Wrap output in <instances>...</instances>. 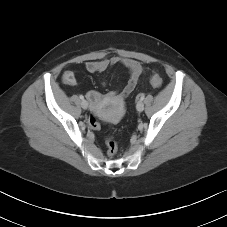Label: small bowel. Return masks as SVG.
Segmentation results:
<instances>
[{"instance_id": "c3829d8e", "label": "small bowel", "mask_w": 227, "mask_h": 227, "mask_svg": "<svg viewBox=\"0 0 227 227\" xmlns=\"http://www.w3.org/2000/svg\"><path fill=\"white\" fill-rule=\"evenodd\" d=\"M122 65L124 66L129 72V79L125 86L119 92H109L106 95H102L97 91H89L87 93V98L89 101L97 105L99 104L104 98L109 100H124L137 86L142 74L144 73L145 69L144 66L133 59L129 58H122L119 56H113L111 58L101 59V60H94V61H87L84 64L86 71L90 73H103L107 71L109 68L115 65ZM62 82L65 85H75L76 75L71 70H66L61 77Z\"/></svg>"}]
</instances>
